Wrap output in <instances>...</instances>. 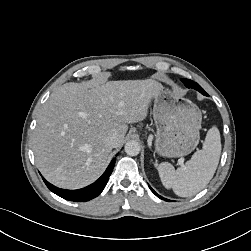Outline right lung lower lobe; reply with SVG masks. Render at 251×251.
I'll return each mask as SVG.
<instances>
[{
    "label": "right lung lower lobe",
    "mask_w": 251,
    "mask_h": 251,
    "mask_svg": "<svg viewBox=\"0 0 251 251\" xmlns=\"http://www.w3.org/2000/svg\"><path fill=\"white\" fill-rule=\"evenodd\" d=\"M117 156V155H116ZM115 165V159L111 161L109 166L107 167L104 174L93 184L82 188L78 190H65L58 187H55L54 185L50 184L48 181H46L43 178V181L45 182L46 186L55 194L58 196L69 200V201H75V202H85L88 200H91L95 197H97L106 186V183L109 179V176L111 175L113 168Z\"/></svg>",
    "instance_id": "right-lung-lower-lobe-1"
}]
</instances>
